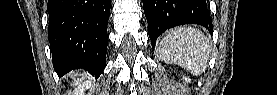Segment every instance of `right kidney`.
Listing matches in <instances>:
<instances>
[{
	"instance_id": "1",
	"label": "right kidney",
	"mask_w": 277,
	"mask_h": 95,
	"mask_svg": "<svg viewBox=\"0 0 277 95\" xmlns=\"http://www.w3.org/2000/svg\"><path fill=\"white\" fill-rule=\"evenodd\" d=\"M89 86H90V84H88V83L85 84V85H83V86H81V88H82V89H81V92H83V88H84V87L88 88Z\"/></svg>"
}]
</instances>
